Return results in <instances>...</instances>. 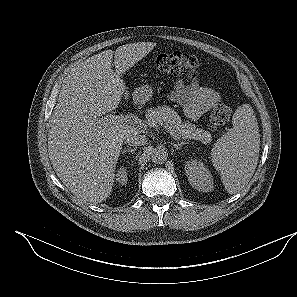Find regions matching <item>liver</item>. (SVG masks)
I'll return each mask as SVG.
<instances>
[{
	"instance_id": "6515ba94",
	"label": "liver",
	"mask_w": 297,
	"mask_h": 297,
	"mask_svg": "<svg viewBox=\"0 0 297 297\" xmlns=\"http://www.w3.org/2000/svg\"><path fill=\"white\" fill-rule=\"evenodd\" d=\"M156 46L138 42L105 50L72 68L64 78L48 133L52 166L80 201L101 203L111 194L125 136L138 132L130 124L101 125L100 116L128 99L120 75ZM116 70L112 69V60Z\"/></svg>"
}]
</instances>
